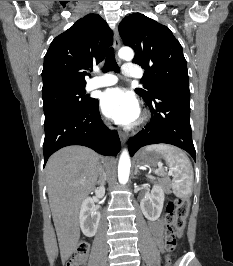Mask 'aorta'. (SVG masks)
Returning <instances> with one entry per match:
<instances>
[{
  "instance_id": "1",
  "label": "aorta",
  "mask_w": 233,
  "mask_h": 266,
  "mask_svg": "<svg viewBox=\"0 0 233 266\" xmlns=\"http://www.w3.org/2000/svg\"><path fill=\"white\" fill-rule=\"evenodd\" d=\"M118 56L123 60L130 61L134 57V52L131 48L124 47L119 50ZM130 167L131 162L129 153L127 150H123L120 155L118 164V179L121 184L127 183L130 174Z\"/></svg>"
}]
</instances>
